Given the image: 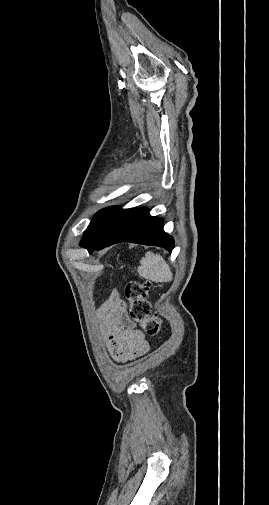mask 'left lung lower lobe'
<instances>
[{
    "label": "left lung lower lobe",
    "mask_w": 269,
    "mask_h": 505,
    "mask_svg": "<svg viewBox=\"0 0 269 505\" xmlns=\"http://www.w3.org/2000/svg\"><path fill=\"white\" fill-rule=\"evenodd\" d=\"M163 220L152 217L144 209L122 210L105 236L96 244L84 247L89 253L115 243L132 242L163 247L169 252L174 240L163 231Z\"/></svg>",
    "instance_id": "1"
}]
</instances>
